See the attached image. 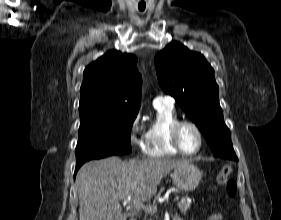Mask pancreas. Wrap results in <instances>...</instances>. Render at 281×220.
Wrapping results in <instances>:
<instances>
[{
	"label": "pancreas",
	"mask_w": 281,
	"mask_h": 220,
	"mask_svg": "<svg viewBox=\"0 0 281 220\" xmlns=\"http://www.w3.org/2000/svg\"><path fill=\"white\" fill-rule=\"evenodd\" d=\"M191 203L185 197H182L181 200L178 202V208L181 213L186 214L188 209H190Z\"/></svg>",
	"instance_id": "pancreas-1"
}]
</instances>
